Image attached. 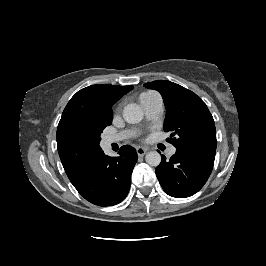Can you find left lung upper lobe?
Returning a JSON list of instances; mask_svg holds the SVG:
<instances>
[{
    "label": "left lung upper lobe",
    "mask_w": 266,
    "mask_h": 266,
    "mask_svg": "<svg viewBox=\"0 0 266 266\" xmlns=\"http://www.w3.org/2000/svg\"><path fill=\"white\" fill-rule=\"evenodd\" d=\"M163 97L166 107L164 130L170 132L168 142L176 149L216 150L213 117L202 99L192 91L167 80L144 84Z\"/></svg>",
    "instance_id": "5c2ea615"
}]
</instances>
